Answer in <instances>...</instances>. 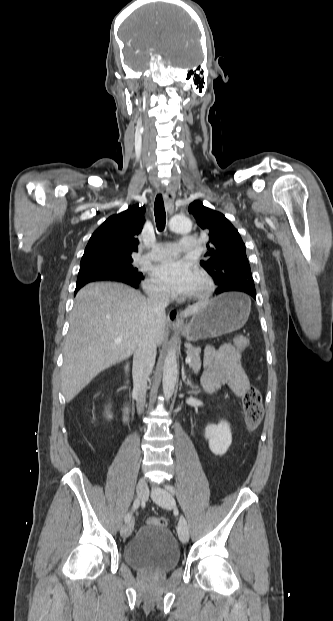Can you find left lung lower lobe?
Listing matches in <instances>:
<instances>
[{
    "instance_id": "0a47b994",
    "label": "left lung lower lobe",
    "mask_w": 333,
    "mask_h": 621,
    "mask_svg": "<svg viewBox=\"0 0 333 621\" xmlns=\"http://www.w3.org/2000/svg\"><path fill=\"white\" fill-rule=\"evenodd\" d=\"M224 292H243L256 299V290L254 284L248 282H232L228 283L215 291L216 295Z\"/></svg>"
}]
</instances>
